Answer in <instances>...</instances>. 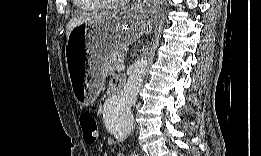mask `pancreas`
Instances as JSON below:
<instances>
[{
  "mask_svg": "<svg viewBox=\"0 0 261 156\" xmlns=\"http://www.w3.org/2000/svg\"><path fill=\"white\" fill-rule=\"evenodd\" d=\"M123 54L121 51H114L110 54L109 58L106 60V62L101 67V73L103 76L112 74L116 71L115 67L116 65L123 62Z\"/></svg>",
  "mask_w": 261,
  "mask_h": 156,
  "instance_id": "obj_1",
  "label": "pancreas"
}]
</instances>
